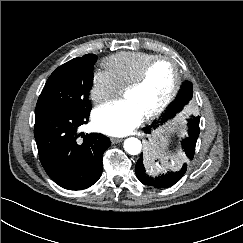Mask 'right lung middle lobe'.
<instances>
[{"mask_svg":"<svg viewBox=\"0 0 243 243\" xmlns=\"http://www.w3.org/2000/svg\"><path fill=\"white\" fill-rule=\"evenodd\" d=\"M94 54L74 58L58 67L48 78L36 109L47 108L76 114L90 112L88 99L93 84Z\"/></svg>","mask_w":243,"mask_h":243,"instance_id":"1","label":"right lung middle lobe"}]
</instances>
